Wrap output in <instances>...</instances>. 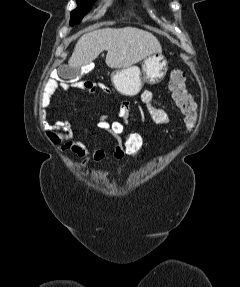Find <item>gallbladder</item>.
Returning a JSON list of instances; mask_svg holds the SVG:
<instances>
[{
  "label": "gallbladder",
  "mask_w": 240,
  "mask_h": 287,
  "mask_svg": "<svg viewBox=\"0 0 240 287\" xmlns=\"http://www.w3.org/2000/svg\"><path fill=\"white\" fill-rule=\"evenodd\" d=\"M60 74L64 79L77 80L81 76L82 72L79 67H62L60 68Z\"/></svg>",
  "instance_id": "gallbladder-1"
}]
</instances>
